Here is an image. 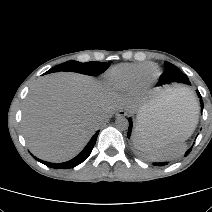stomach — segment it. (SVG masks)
Listing matches in <instances>:
<instances>
[{"mask_svg":"<svg viewBox=\"0 0 212 212\" xmlns=\"http://www.w3.org/2000/svg\"><path fill=\"white\" fill-rule=\"evenodd\" d=\"M141 114L143 117L145 116H153V110H152V105L151 102L145 104L142 106V108L139 110V113Z\"/></svg>","mask_w":212,"mask_h":212,"instance_id":"1","label":"stomach"}]
</instances>
